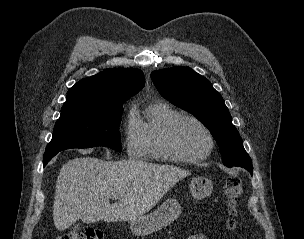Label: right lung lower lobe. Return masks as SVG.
<instances>
[{"mask_svg":"<svg viewBox=\"0 0 304 239\" xmlns=\"http://www.w3.org/2000/svg\"><path fill=\"white\" fill-rule=\"evenodd\" d=\"M59 151L44 154L43 165L45 166Z\"/></svg>","mask_w":304,"mask_h":239,"instance_id":"obj_1","label":"right lung lower lobe"}]
</instances>
